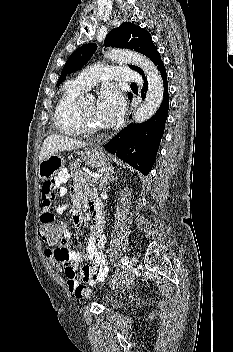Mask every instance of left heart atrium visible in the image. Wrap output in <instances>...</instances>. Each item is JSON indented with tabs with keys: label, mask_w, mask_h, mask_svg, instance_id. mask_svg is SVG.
<instances>
[{
	"label": "left heart atrium",
	"mask_w": 233,
	"mask_h": 352,
	"mask_svg": "<svg viewBox=\"0 0 233 352\" xmlns=\"http://www.w3.org/2000/svg\"><path fill=\"white\" fill-rule=\"evenodd\" d=\"M124 99L121 94L112 87L102 90L96 102V115L103 127L113 125L123 114Z\"/></svg>",
	"instance_id": "39dd6f15"
}]
</instances>
